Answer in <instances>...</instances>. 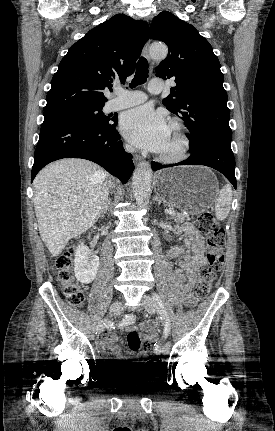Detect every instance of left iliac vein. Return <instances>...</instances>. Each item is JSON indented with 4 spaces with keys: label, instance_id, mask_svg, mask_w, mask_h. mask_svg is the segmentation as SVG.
Here are the masks:
<instances>
[{
    "label": "left iliac vein",
    "instance_id": "obj_1",
    "mask_svg": "<svg viewBox=\"0 0 275 431\" xmlns=\"http://www.w3.org/2000/svg\"><path fill=\"white\" fill-rule=\"evenodd\" d=\"M142 305L145 309V311H147L150 314H153L155 312V303L154 300L149 296V295H143L142 297ZM171 350V344L170 343H166L162 349V353L163 354H168Z\"/></svg>",
    "mask_w": 275,
    "mask_h": 431
}]
</instances>
